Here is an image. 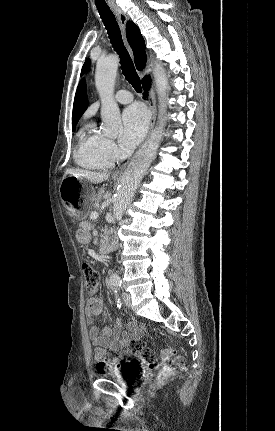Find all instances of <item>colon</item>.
Segmentation results:
<instances>
[{
    "label": "colon",
    "mask_w": 275,
    "mask_h": 431,
    "mask_svg": "<svg viewBox=\"0 0 275 431\" xmlns=\"http://www.w3.org/2000/svg\"><path fill=\"white\" fill-rule=\"evenodd\" d=\"M82 269L88 293L95 294L99 288L100 274L98 268L92 262H84ZM127 350L147 363L150 369L156 370L161 364H168L159 371L158 382L163 381L172 370L182 368L185 364L184 357L177 355L171 348H163L160 351L159 362L155 360L153 351L140 341H130L127 345ZM96 359L97 370L106 372L117 364V351L113 350L109 355L98 352Z\"/></svg>",
    "instance_id": "1"
}]
</instances>
